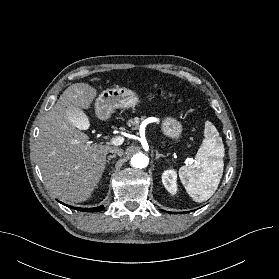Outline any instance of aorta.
<instances>
[{
    "label": "aorta",
    "mask_w": 279,
    "mask_h": 279,
    "mask_svg": "<svg viewBox=\"0 0 279 279\" xmlns=\"http://www.w3.org/2000/svg\"><path fill=\"white\" fill-rule=\"evenodd\" d=\"M148 162H149L148 157L142 153H137L131 158V165L134 168H139V169L145 168L147 167Z\"/></svg>",
    "instance_id": "obj_1"
}]
</instances>
